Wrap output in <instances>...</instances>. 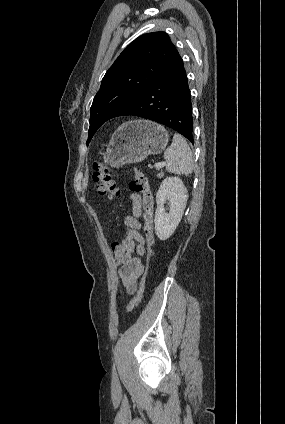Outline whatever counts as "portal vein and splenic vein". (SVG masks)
I'll list each match as a JSON object with an SVG mask.
<instances>
[{
    "mask_svg": "<svg viewBox=\"0 0 285 424\" xmlns=\"http://www.w3.org/2000/svg\"><path fill=\"white\" fill-rule=\"evenodd\" d=\"M163 166H165V163H156V164H155V167H156V168H161V167H163Z\"/></svg>",
    "mask_w": 285,
    "mask_h": 424,
    "instance_id": "18ae733b",
    "label": "portal vein and splenic vein"
}]
</instances>
